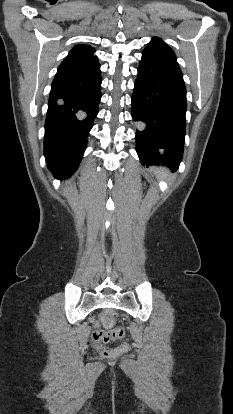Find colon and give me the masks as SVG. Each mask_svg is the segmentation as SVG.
Segmentation results:
<instances>
[{
    "label": "colon",
    "mask_w": 233,
    "mask_h": 414,
    "mask_svg": "<svg viewBox=\"0 0 233 414\" xmlns=\"http://www.w3.org/2000/svg\"><path fill=\"white\" fill-rule=\"evenodd\" d=\"M114 317V310L108 309L104 311L100 316V323L104 326L105 329H96L93 332V340L96 343L97 348L100 350L102 356L106 358H109L112 355H114L115 351L106 348L103 344L109 343L114 340L123 339L125 336V330L123 328H112L114 325Z\"/></svg>",
    "instance_id": "colon-1"
}]
</instances>
